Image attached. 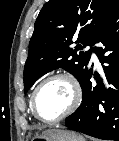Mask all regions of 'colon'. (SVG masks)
<instances>
[{"label": "colon", "instance_id": "colon-1", "mask_svg": "<svg viewBox=\"0 0 119 141\" xmlns=\"http://www.w3.org/2000/svg\"><path fill=\"white\" fill-rule=\"evenodd\" d=\"M35 141H45L43 138H37Z\"/></svg>", "mask_w": 119, "mask_h": 141}]
</instances>
